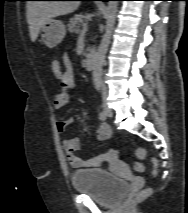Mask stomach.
Segmentation results:
<instances>
[{"label": "stomach", "mask_w": 188, "mask_h": 213, "mask_svg": "<svg viewBox=\"0 0 188 213\" xmlns=\"http://www.w3.org/2000/svg\"><path fill=\"white\" fill-rule=\"evenodd\" d=\"M41 41L49 48L56 47L66 35V28L62 21L50 19L40 29Z\"/></svg>", "instance_id": "obj_1"}]
</instances>
